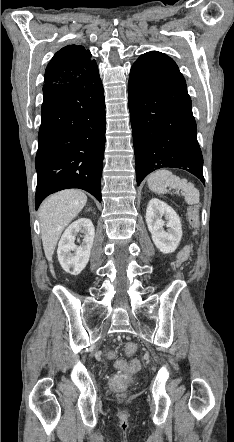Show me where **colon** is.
<instances>
[{
	"label": "colon",
	"mask_w": 234,
	"mask_h": 442,
	"mask_svg": "<svg viewBox=\"0 0 234 442\" xmlns=\"http://www.w3.org/2000/svg\"><path fill=\"white\" fill-rule=\"evenodd\" d=\"M189 221L194 227L199 226V211L198 206H192L188 210ZM184 268L189 269L192 266L191 261L186 260L183 263ZM137 350V347L134 343H127L125 346V352L127 355H133ZM105 353H108V357L113 359L118 352L116 350H105ZM140 358L132 357L130 362H126L124 360H116L115 367L126 373H134L140 369ZM130 385V378L127 374H119L113 378V380L109 381L110 389H127Z\"/></svg>",
	"instance_id": "obj_1"
}]
</instances>
